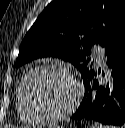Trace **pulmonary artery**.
Listing matches in <instances>:
<instances>
[{
	"label": "pulmonary artery",
	"instance_id": "obj_1",
	"mask_svg": "<svg viewBox=\"0 0 125 128\" xmlns=\"http://www.w3.org/2000/svg\"><path fill=\"white\" fill-rule=\"evenodd\" d=\"M93 55L97 58V60L101 63H104V52L102 50H95Z\"/></svg>",
	"mask_w": 125,
	"mask_h": 128
}]
</instances>
